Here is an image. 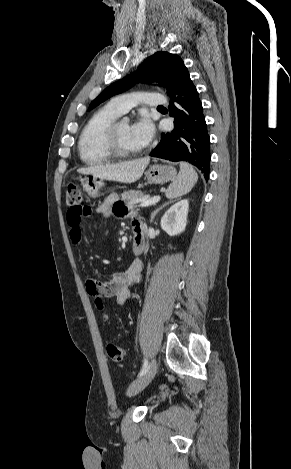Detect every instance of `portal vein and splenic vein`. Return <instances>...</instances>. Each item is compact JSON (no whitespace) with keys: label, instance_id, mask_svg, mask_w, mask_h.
Masks as SVG:
<instances>
[{"label":"portal vein and splenic vein","instance_id":"obj_1","mask_svg":"<svg viewBox=\"0 0 291 469\" xmlns=\"http://www.w3.org/2000/svg\"><path fill=\"white\" fill-rule=\"evenodd\" d=\"M159 201H160V196H154V197H152V198H150V199H148V200L143 201V202L140 204V206H141V207H147V206H150V205H152V204H155V203H157V202H159Z\"/></svg>","mask_w":291,"mask_h":469}]
</instances>
